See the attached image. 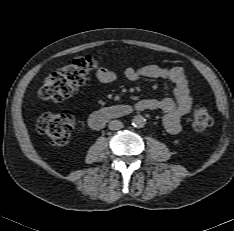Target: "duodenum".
<instances>
[{
    "label": "duodenum",
    "mask_w": 234,
    "mask_h": 231,
    "mask_svg": "<svg viewBox=\"0 0 234 231\" xmlns=\"http://www.w3.org/2000/svg\"><path fill=\"white\" fill-rule=\"evenodd\" d=\"M132 112L133 108L125 104L105 107L90 116V124L93 128H101L106 122L115 118L128 116Z\"/></svg>",
    "instance_id": "obj_1"
}]
</instances>
